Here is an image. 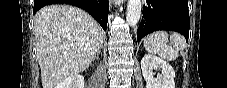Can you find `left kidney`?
Returning <instances> with one entry per match:
<instances>
[{"label": "left kidney", "mask_w": 227, "mask_h": 88, "mask_svg": "<svg viewBox=\"0 0 227 88\" xmlns=\"http://www.w3.org/2000/svg\"><path fill=\"white\" fill-rule=\"evenodd\" d=\"M141 69L147 88H175V71L166 61L151 54H146L141 60ZM159 69L154 77L153 70Z\"/></svg>", "instance_id": "1"}]
</instances>
